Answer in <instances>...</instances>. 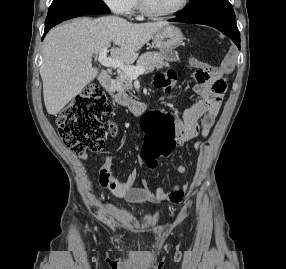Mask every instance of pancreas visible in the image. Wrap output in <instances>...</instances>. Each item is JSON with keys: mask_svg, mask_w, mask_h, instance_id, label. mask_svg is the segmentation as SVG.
<instances>
[{"mask_svg": "<svg viewBox=\"0 0 286 269\" xmlns=\"http://www.w3.org/2000/svg\"><path fill=\"white\" fill-rule=\"evenodd\" d=\"M137 67H143L145 73H151L154 69H161L163 67H169V63L164 61V58L159 53L147 52L142 54L138 61ZM133 78L127 75L125 72H121L115 80V89L118 92L117 98H123L126 96V91L132 89Z\"/></svg>", "mask_w": 286, "mask_h": 269, "instance_id": "cf45deb5", "label": "pancreas"}]
</instances>
